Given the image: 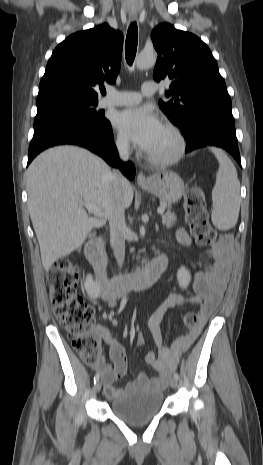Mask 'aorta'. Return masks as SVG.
Instances as JSON below:
<instances>
[{
  "label": "aorta",
  "mask_w": 263,
  "mask_h": 465,
  "mask_svg": "<svg viewBox=\"0 0 263 465\" xmlns=\"http://www.w3.org/2000/svg\"><path fill=\"white\" fill-rule=\"evenodd\" d=\"M157 55L155 52L142 51L138 54L135 60V65L138 69H147L156 64Z\"/></svg>",
  "instance_id": "1"
}]
</instances>
